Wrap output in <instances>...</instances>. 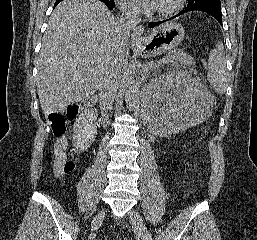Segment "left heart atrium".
<instances>
[{
    "instance_id": "obj_1",
    "label": "left heart atrium",
    "mask_w": 257,
    "mask_h": 240,
    "mask_svg": "<svg viewBox=\"0 0 257 240\" xmlns=\"http://www.w3.org/2000/svg\"><path fill=\"white\" fill-rule=\"evenodd\" d=\"M137 4L144 10H154L157 8L160 0H135Z\"/></svg>"
}]
</instances>
